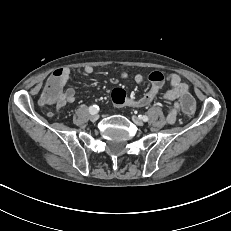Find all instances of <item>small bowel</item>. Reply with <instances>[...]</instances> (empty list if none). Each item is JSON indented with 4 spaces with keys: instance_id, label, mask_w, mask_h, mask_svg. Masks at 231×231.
I'll use <instances>...</instances> for the list:
<instances>
[{
    "instance_id": "obj_1",
    "label": "small bowel",
    "mask_w": 231,
    "mask_h": 231,
    "mask_svg": "<svg viewBox=\"0 0 231 231\" xmlns=\"http://www.w3.org/2000/svg\"><path fill=\"white\" fill-rule=\"evenodd\" d=\"M61 70L64 72V77L58 83L60 85V90L58 91V97L55 101V105L58 109L76 100V92L74 89L68 88L64 90V86L70 78L71 71L69 68H61ZM82 71L86 75H91L94 69L91 66H85L82 68ZM121 78L128 80L130 79V75L127 72H122ZM133 79L137 84H143L146 81V77L143 74H136ZM148 80L151 84L150 90L138 98H127L125 104L132 107H145L152 103L164 84V77L160 72H153L149 75ZM167 82L168 89L164 93L163 98L168 104L167 122L173 124L177 120L179 111H183L179 107V90L184 89L188 94L190 93L188 85L183 82L176 73L169 74L167 76Z\"/></svg>"
}]
</instances>
